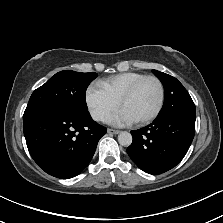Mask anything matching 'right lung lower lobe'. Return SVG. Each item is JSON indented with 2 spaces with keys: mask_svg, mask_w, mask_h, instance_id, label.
Masks as SVG:
<instances>
[{
  "mask_svg": "<svg viewBox=\"0 0 223 223\" xmlns=\"http://www.w3.org/2000/svg\"><path fill=\"white\" fill-rule=\"evenodd\" d=\"M26 144L46 173L62 179L78 175L92 159L107 129L91 116L46 113L23 119Z\"/></svg>",
  "mask_w": 223,
  "mask_h": 223,
  "instance_id": "obj_1",
  "label": "right lung lower lobe"
}]
</instances>
